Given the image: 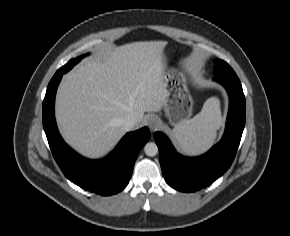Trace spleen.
<instances>
[{
	"instance_id": "obj_1",
	"label": "spleen",
	"mask_w": 290,
	"mask_h": 236,
	"mask_svg": "<svg viewBox=\"0 0 290 236\" xmlns=\"http://www.w3.org/2000/svg\"><path fill=\"white\" fill-rule=\"evenodd\" d=\"M221 125L220 102L212 97L206 100L199 114L177 124L173 135L183 151L197 154L204 152L214 143L216 131Z\"/></svg>"
}]
</instances>
